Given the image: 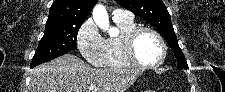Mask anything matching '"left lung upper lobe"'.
<instances>
[{
	"mask_svg": "<svg viewBox=\"0 0 225 92\" xmlns=\"http://www.w3.org/2000/svg\"><path fill=\"white\" fill-rule=\"evenodd\" d=\"M122 7L136 13L163 35L168 45L174 50L178 68L188 69L171 23V17L162 0H115Z\"/></svg>",
	"mask_w": 225,
	"mask_h": 92,
	"instance_id": "left-lung-upper-lobe-1",
	"label": "left lung upper lobe"
}]
</instances>
